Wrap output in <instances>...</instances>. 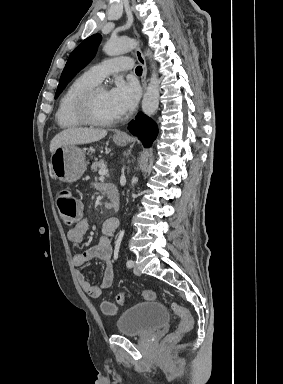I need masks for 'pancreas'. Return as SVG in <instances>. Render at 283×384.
<instances>
[{"label": "pancreas", "instance_id": "cf45deb5", "mask_svg": "<svg viewBox=\"0 0 283 384\" xmlns=\"http://www.w3.org/2000/svg\"><path fill=\"white\" fill-rule=\"evenodd\" d=\"M105 166L106 164H104V160H100V162H94L90 170H92V172H97V168H101V170H104Z\"/></svg>", "mask_w": 283, "mask_h": 384}]
</instances>
